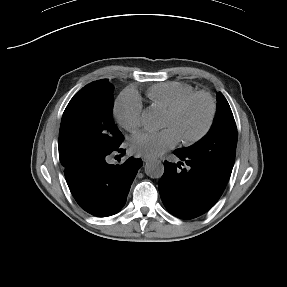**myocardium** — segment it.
Instances as JSON below:
<instances>
[{
	"label": "myocardium",
	"instance_id": "obj_1",
	"mask_svg": "<svg viewBox=\"0 0 287 287\" xmlns=\"http://www.w3.org/2000/svg\"><path fill=\"white\" fill-rule=\"evenodd\" d=\"M196 98H202L205 101L208 107V115H207L205 125L197 134L190 136V137L181 138V142L186 146L193 145L199 142L210 131L213 125L215 113H216V106H215L212 96L208 92H205V91H194L188 94L187 96H185L184 98H182L173 107H171L168 111H166L167 115L175 116L179 114L191 101H193Z\"/></svg>",
	"mask_w": 287,
	"mask_h": 287
}]
</instances>
